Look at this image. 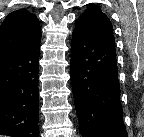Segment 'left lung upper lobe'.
<instances>
[{"instance_id":"left-lung-upper-lobe-1","label":"left lung upper lobe","mask_w":144,"mask_h":137,"mask_svg":"<svg viewBox=\"0 0 144 137\" xmlns=\"http://www.w3.org/2000/svg\"><path fill=\"white\" fill-rule=\"evenodd\" d=\"M76 23L84 26L95 34L107 36L114 40L113 27L109 18L95 5H90L76 20Z\"/></svg>"}]
</instances>
